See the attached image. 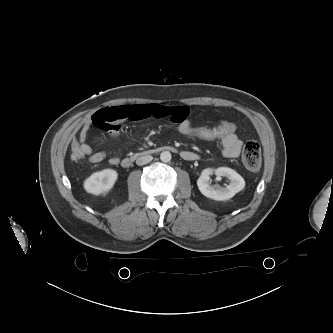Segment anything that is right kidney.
Wrapping results in <instances>:
<instances>
[{
    "instance_id": "right-kidney-1",
    "label": "right kidney",
    "mask_w": 333,
    "mask_h": 333,
    "mask_svg": "<svg viewBox=\"0 0 333 333\" xmlns=\"http://www.w3.org/2000/svg\"><path fill=\"white\" fill-rule=\"evenodd\" d=\"M118 178L113 169H103L93 173L84 181V189L91 194L98 195L110 191Z\"/></svg>"
}]
</instances>
